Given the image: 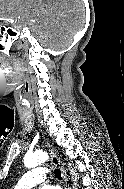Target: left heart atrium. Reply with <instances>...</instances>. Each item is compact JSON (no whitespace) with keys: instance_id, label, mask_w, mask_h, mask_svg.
Returning <instances> with one entry per match:
<instances>
[{"instance_id":"1","label":"left heart atrium","mask_w":124,"mask_h":189,"mask_svg":"<svg viewBox=\"0 0 124 189\" xmlns=\"http://www.w3.org/2000/svg\"><path fill=\"white\" fill-rule=\"evenodd\" d=\"M42 189H57L56 187H53V186H45L43 187Z\"/></svg>"}]
</instances>
